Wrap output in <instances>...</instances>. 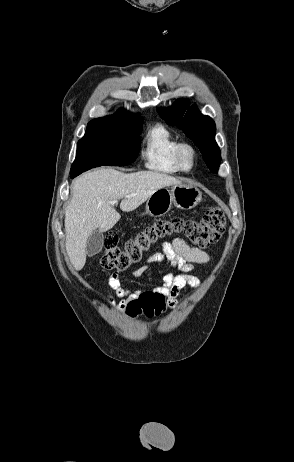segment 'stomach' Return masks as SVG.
Listing matches in <instances>:
<instances>
[{"label": "stomach", "mask_w": 294, "mask_h": 462, "mask_svg": "<svg viewBox=\"0 0 294 462\" xmlns=\"http://www.w3.org/2000/svg\"><path fill=\"white\" fill-rule=\"evenodd\" d=\"M202 199L200 190L192 185L178 184L171 188L156 190L147 200L145 214L160 217L168 213L172 206L189 210L196 207Z\"/></svg>", "instance_id": "stomach-1"}]
</instances>
